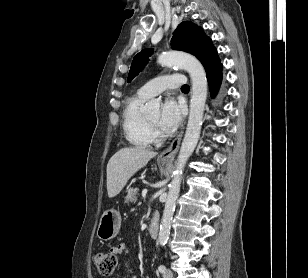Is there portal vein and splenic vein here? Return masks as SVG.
I'll use <instances>...</instances> for the list:
<instances>
[{
  "label": "portal vein and splenic vein",
  "mask_w": 308,
  "mask_h": 278,
  "mask_svg": "<svg viewBox=\"0 0 308 278\" xmlns=\"http://www.w3.org/2000/svg\"><path fill=\"white\" fill-rule=\"evenodd\" d=\"M147 192H148V190H147V189H144V190L142 191V196L145 197L146 194H147Z\"/></svg>",
  "instance_id": "obj_1"
}]
</instances>
